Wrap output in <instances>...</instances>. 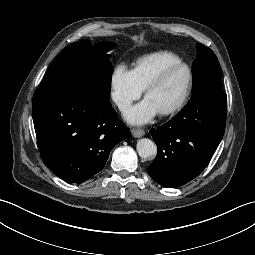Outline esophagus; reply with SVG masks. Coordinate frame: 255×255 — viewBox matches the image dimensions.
<instances>
[{"label": "esophagus", "mask_w": 255, "mask_h": 255, "mask_svg": "<svg viewBox=\"0 0 255 255\" xmlns=\"http://www.w3.org/2000/svg\"><path fill=\"white\" fill-rule=\"evenodd\" d=\"M131 133L134 137L136 138H139V137H142L144 134H145V131L143 129H136V128H133L131 130Z\"/></svg>", "instance_id": "obj_1"}]
</instances>
